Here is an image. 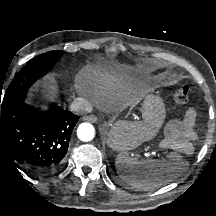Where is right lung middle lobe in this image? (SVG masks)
I'll use <instances>...</instances> for the list:
<instances>
[{"instance_id":"right-lung-middle-lobe-1","label":"right lung middle lobe","mask_w":216,"mask_h":216,"mask_svg":"<svg viewBox=\"0 0 216 216\" xmlns=\"http://www.w3.org/2000/svg\"><path fill=\"white\" fill-rule=\"evenodd\" d=\"M62 54V51H50L30 60L15 76L6 93L2 96V102L27 92L37 79L48 73Z\"/></svg>"}]
</instances>
